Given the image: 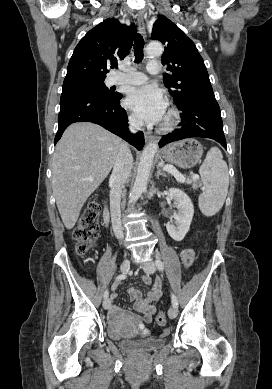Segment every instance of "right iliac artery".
Instances as JSON below:
<instances>
[{"label":"right iliac artery","mask_w":272,"mask_h":389,"mask_svg":"<svg viewBox=\"0 0 272 389\" xmlns=\"http://www.w3.org/2000/svg\"><path fill=\"white\" fill-rule=\"evenodd\" d=\"M125 275H123V274H121V275H118L116 278H115V280L116 281H120V280H123V279H125ZM104 298L106 299V298H108V296H109V291L108 290H106L105 292H104Z\"/></svg>","instance_id":"obj_1"}]
</instances>
